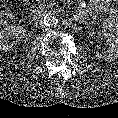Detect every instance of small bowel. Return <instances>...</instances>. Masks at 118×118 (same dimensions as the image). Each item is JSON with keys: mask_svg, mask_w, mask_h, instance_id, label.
<instances>
[{"mask_svg": "<svg viewBox=\"0 0 118 118\" xmlns=\"http://www.w3.org/2000/svg\"><path fill=\"white\" fill-rule=\"evenodd\" d=\"M93 9L104 10L109 21L112 22V28L118 32V9L108 5L103 0H92Z\"/></svg>", "mask_w": 118, "mask_h": 118, "instance_id": "1", "label": "small bowel"}]
</instances>
